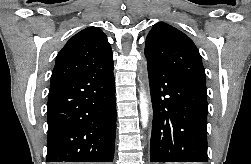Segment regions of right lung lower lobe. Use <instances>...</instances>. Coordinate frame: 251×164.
I'll use <instances>...</instances> for the list:
<instances>
[{"label": "right lung lower lobe", "mask_w": 251, "mask_h": 164, "mask_svg": "<svg viewBox=\"0 0 251 164\" xmlns=\"http://www.w3.org/2000/svg\"><path fill=\"white\" fill-rule=\"evenodd\" d=\"M47 162H112L116 130L113 65L50 86Z\"/></svg>", "instance_id": "obj_1"}]
</instances>
